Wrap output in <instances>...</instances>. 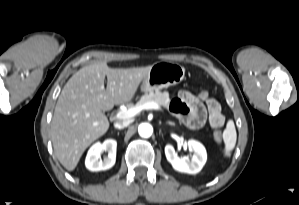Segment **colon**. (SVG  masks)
<instances>
[{"label":"colon","mask_w":299,"mask_h":205,"mask_svg":"<svg viewBox=\"0 0 299 205\" xmlns=\"http://www.w3.org/2000/svg\"><path fill=\"white\" fill-rule=\"evenodd\" d=\"M199 97L203 100H208L209 99V93L205 90H202L200 91L199 93ZM213 136H214V139L217 141V142H222L223 140V134L220 130H215L214 133H213Z\"/></svg>","instance_id":"colon-1"}]
</instances>
